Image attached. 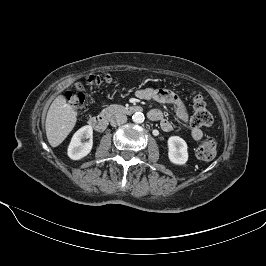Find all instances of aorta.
I'll return each instance as SVG.
<instances>
[{"label":"aorta","instance_id":"1","mask_svg":"<svg viewBox=\"0 0 266 266\" xmlns=\"http://www.w3.org/2000/svg\"><path fill=\"white\" fill-rule=\"evenodd\" d=\"M132 120L138 124L142 123L144 121V114L142 112H136L133 114Z\"/></svg>","mask_w":266,"mask_h":266}]
</instances>
